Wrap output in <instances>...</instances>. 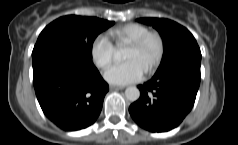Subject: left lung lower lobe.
I'll return each mask as SVG.
<instances>
[{
  "label": "left lung lower lobe",
  "mask_w": 238,
  "mask_h": 145,
  "mask_svg": "<svg viewBox=\"0 0 238 145\" xmlns=\"http://www.w3.org/2000/svg\"><path fill=\"white\" fill-rule=\"evenodd\" d=\"M201 61H189L158 71L139 85L141 96L129 107L133 120L151 132L177 127L191 111L200 85Z\"/></svg>",
  "instance_id": "obj_1"
}]
</instances>
